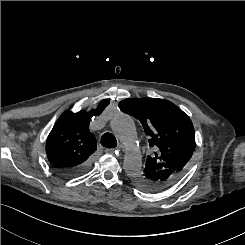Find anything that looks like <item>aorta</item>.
Here are the masks:
<instances>
[{
  "instance_id": "762f6f07",
  "label": "aorta",
  "mask_w": 245,
  "mask_h": 245,
  "mask_svg": "<svg viewBox=\"0 0 245 245\" xmlns=\"http://www.w3.org/2000/svg\"><path fill=\"white\" fill-rule=\"evenodd\" d=\"M111 129L125 148L123 168L127 175L135 176L142 170L139 142L133 120L124 114L111 121Z\"/></svg>"
}]
</instances>
